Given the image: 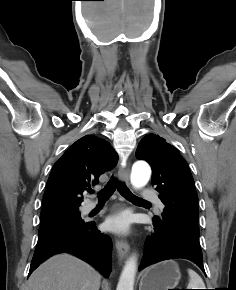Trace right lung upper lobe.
Here are the masks:
<instances>
[{"mask_svg": "<svg viewBox=\"0 0 236 290\" xmlns=\"http://www.w3.org/2000/svg\"><path fill=\"white\" fill-rule=\"evenodd\" d=\"M117 153L104 139L86 135L77 140L54 164L43 195L41 212L78 208L81 195L101 174L113 169Z\"/></svg>", "mask_w": 236, "mask_h": 290, "instance_id": "right-lung-upper-lobe-1", "label": "right lung upper lobe"}]
</instances>
